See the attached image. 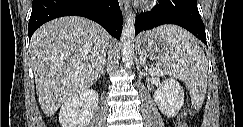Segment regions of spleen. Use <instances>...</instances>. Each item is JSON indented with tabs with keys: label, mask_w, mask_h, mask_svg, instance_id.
Segmentation results:
<instances>
[{
	"label": "spleen",
	"mask_w": 243,
	"mask_h": 127,
	"mask_svg": "<svg viewBox=\"0 0 243 127\" xmlns=\"http://www.w3.org/2000/svg\"><path fill=\"white\" fill-rule=\"evenodd\" d=\"M169 43L171 52L162 59L164 70L172 77L183 80L189 90L192 105H203L207 89L208 62L196 39L177 26H164L160 31Z\"/></svg>",
	"instance_id": "1"
}]
</instances>
